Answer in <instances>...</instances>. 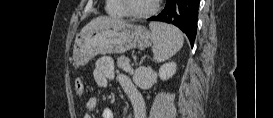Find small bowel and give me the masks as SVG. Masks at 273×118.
<instances>
[{
    "mask_svg": "<svg viewBox=\"0 0 273 118\" xmlns=\"http://www.w3.org/2000/svg\"><path fill=\"white\" fill-rule=\"evenodd\" d=\"M93 78L95 83L99 87H104L107 85L108 80L114 78L117 79L120 87L127 95L131 103V110L128 113V118H144L145 115V105L143 98L131 81L129 77L122 73H118L115 70L114 62L112 58L103 56L96 60L93 69ZM98 106V99L96 97H90L86 101V109L89 111L95 110ZM103 118H114V112L111 108H106L102 114ZM84 118H92L90 114H85Z\"/></svg>",
    "mask_w": 273,
    "mask_h": 118,
    "instance_id": "obj_1",
    "label": "small bowel"
}]
</instances>
